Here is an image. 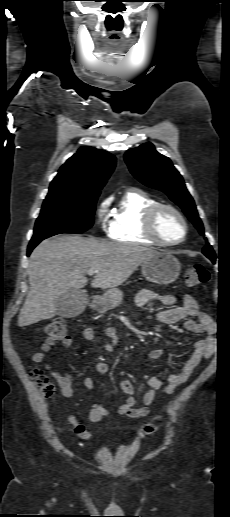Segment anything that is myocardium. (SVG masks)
<instances>
[{
	"mask_svg": "<svg viewBox=\"0 0 230 517\" xmlns=\"http://www.w3.org/2000/svg\"><path fill=\"white\" fill-rule=\"evenodd\" d=\"M164 211L172 212L174 215H176L179 218V220L181 221V223L183 225V234L178 240L167 241L158 232V229H157L158 219ZM145 231H146V234L150 238L155 240L158 244H160L162 246H175V245L180 244L181 242H183L186 239L187 234H188V223H187L184 215L177 208H175L174 206L169 205V204L159 203V204L151 207L147 211L146 216H145Z\"/></svg>",
	"mask_w": 230,
	"mask_h": 517,
	"instance_id": "obj_1",
	"label": "myocardium"
}]
</instances>
